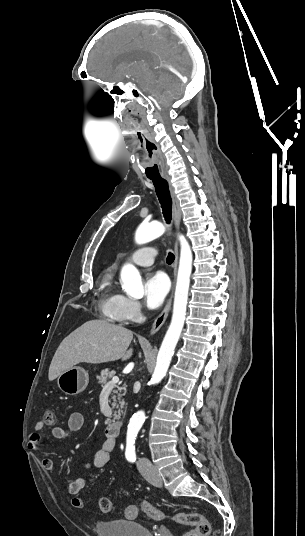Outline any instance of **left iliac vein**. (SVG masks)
Returning a JSON list of instances; mask_svg holds the SVG:
<instances>
[{"mask_svg":"<svg viewBox=\"0 0 305 536\" xmlns=\"http://www.w3.org/2000/svg\"><path fill=\"white\" fill-rule=\"evenodd\" d=\"M142 475L156 487H162V479L154 466L139 465Z\"/></svg>","mask_w":305,"mask_h":536,"instance_id":"4c4485c4","label":"left iliac vein"}]
</instances>
